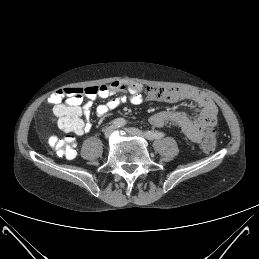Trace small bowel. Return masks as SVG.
<instances>
[{"mask_svg": "<svg viewBox=\"0 0 259 259\" xmlns=\"http://www.w3.org/2000/svg\"><path fill=\"white\" fill-rule=\"evenodd\" d=\"M116 94L121 95L113 97ZM64 98L66 100L63 103ZM98 98L108 99L106 103L96 107L95 113L98 117L106 116L125 102L140 105L144 101H163L166 103L192 101L200 108L199 114L194 119L181 112L165 110L153 114L149 118V122L154 127L173 124L180 128L185 137L194 143L202 142L208 133L213 131L217 121L216 105L209 97L200 92L176 87L154 88L143 86L131 80H119L110 84L85 88H63L51 94L48 103L54 106L53 110L59 117L61 128H63L61 120L73 118L77 126L71 132L82 135L91 130L92 125L89 118L92 103Z\"/></svg>", "mask_w": 259, "mask_h": 259, "instance_id": "1", "label": "small bowel"}]
</instances>
